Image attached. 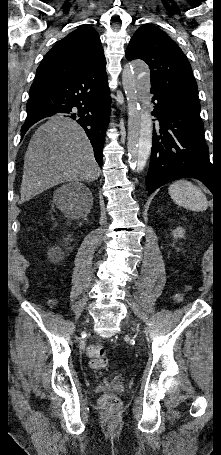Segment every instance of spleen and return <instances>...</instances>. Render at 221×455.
<instances>
[{"label":"spleen","mask_w":221,"mask_h":455,"mask_svg":"<svg viewBox=\"0 0 221 455\" xmlns=\"http://www.w3.org/2000/svg\"><path fill=\"white\" fill-rule=\"evenodd\" d=\"M168 192L179 206L197 212L207 209L208 202L205 194L190 181H175L169 186Z\"/></svg>","instance_id":"1"}]
</instances>
